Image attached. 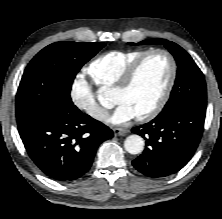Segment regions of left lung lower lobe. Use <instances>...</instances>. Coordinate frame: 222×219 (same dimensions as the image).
I'll return each mask as SVG.
<instances>
[{
    "label": "left lung lower lobe",
    "mask_w": 222,
    "mask_h": 219,
    "mask_svg": "<svg viewBox=\"0 0 222 219\" xmlns=\"http://www.w3.org/2000/svg\"><path fill=\"white\" fill-rule=\"evenodd\" d=\"M206 108L180 102L162 110L152 121L134 127L146 148L133 166L146 176L163 177L183 168L201 139Z\"/></svg>",
    "instance_id": "1"
}]
</instances>
